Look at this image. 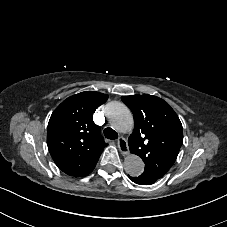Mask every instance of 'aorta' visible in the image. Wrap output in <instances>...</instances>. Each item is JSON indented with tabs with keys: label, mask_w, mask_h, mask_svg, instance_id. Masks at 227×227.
I'll return each mask as SVG.
<instances>
[{
	"label": "aorta",
	"mask_w": 227,
	"mask_h": 227,
	"mask_svg": "<svg viewBox=\"0 0 227 227\" xmlns=\"http://www.w3.org/2000/svg\"><path fill=\"white\" fill-rule=\"evenodd\" d=\"M106 115L111 125L120 132H125L133 127L134 121L130 110L123 103L113 101L106 105ZM145 164L143 160L130 154L124 160V169L130 176H139L144 171Z\"/></svg>",
	"instance_id": "762f6f07"
}]
</instances>
